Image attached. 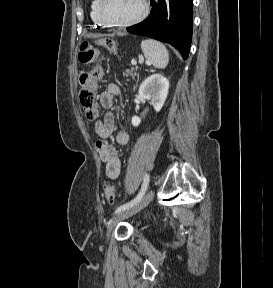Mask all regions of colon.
<instances>
[{"mask_svg":"<svg viewBox=\"0 0 273 288\" xmlns=\"http://www.w3.org/2000/svg\"><path fill=\"white\" fill-rule=\"evenodd\" d=\"M106 49L111 53H116L117 47L113 40L104 42ZM79 61L83 64L97 63L90 71L82 72L80 75L79 101L81 107L89 120L97 117L96 106V81L101 79L103 68L98 63L100 53L91 44L84 42L80 46ZM105 197L108 203L113 204L116 198V190L113 185H107L104 189Z\"/></svg>","mask_w":273,"mask_h":288,"instance_id":"5ec220e1","label":"colon"}]
</instances>
